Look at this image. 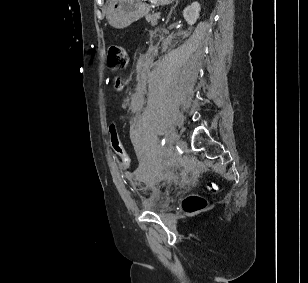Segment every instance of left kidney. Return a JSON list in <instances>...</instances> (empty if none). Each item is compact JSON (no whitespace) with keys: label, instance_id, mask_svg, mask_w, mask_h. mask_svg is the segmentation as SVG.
I'll return each instance as SVG.
<instances>
[{"label":"left kidney","instance_id":"1","mask_svg":"<svg viewBox=\"0 0 308 283\" xmlns=\"http://www.w3.org/2000/svg\"><path fill=\"white\" fill-rule=\"evenodd\" d=\"M201 6L198 2H193L183 11V16L189 25H194L199 18Z\"/></svg>","mask_w":308,"mask_h":283}]
</instances>
